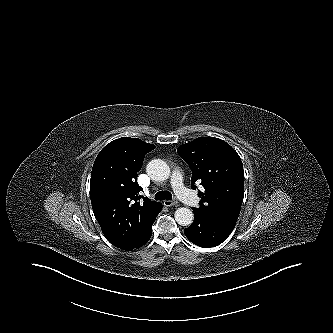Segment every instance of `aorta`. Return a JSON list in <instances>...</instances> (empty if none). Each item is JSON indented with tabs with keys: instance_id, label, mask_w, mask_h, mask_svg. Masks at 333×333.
Segmentation results:
<instances>
[{
	"instance_id": "obj_1",
	"label": "aorta",
	"mask_w": 333,
	"mask_h": 333,
	"mask_svg": "<svg viewBox=\"0 0 333 333\" xmlns=\"http://www.w3.org/2000/svg\"><path fill=\"white\" fill-rule=\"evenodd\" d=\"M148 175L156 181H164L170 176V167L161 159L151 160L146 167ZM175 220L179 225L189 226L194 220L193 212L188 208H178L174 214Z\"/></svg>"
}]
</instances>
